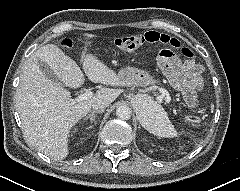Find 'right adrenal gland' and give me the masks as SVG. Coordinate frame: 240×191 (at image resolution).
<instances>
[{
  "mask_svg": "<svg viewBox=\"0 0 240 191\" xmlns=\"http://www.w3.org/2000/svg\"><path fill=\"white\" fill-rule=\"evenodd\" d=\"M101 112L102 111H92L90 114L85 116L84 120L90 119V122L92 123L93 121H95L96 115Z\"/></svg>",
  "mask_w": 240,
  "mask_h": 191,
  "instance_id": "obj_1",
  "label": "right adrenal gland"
}]
</instances>
